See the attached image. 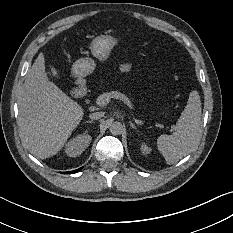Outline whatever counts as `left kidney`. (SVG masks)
Wrapping results in <instances>:
<instances>
[{"instance_id": "left-kidney-1", "label": "left kidney", "mask_w": 233, "mask_h": 233, "mask_svg": "<svg viewBox=\"0 0 233 233\" xmlns=\"http://www.w3.org/2000/svg\"><path fill=\"white\" fill-rule=\"evenodd\" d=\"M139 148L143 155H151L153 153V149L150 144L146 141H139Z\"/></svg>"}]
</instances>
